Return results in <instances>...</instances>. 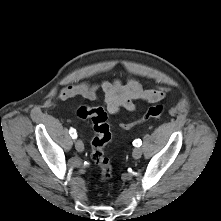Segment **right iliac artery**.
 Instances as JSON below:
<instances>
[{
    "label": "right iliac artery",
    "mask_w": 221,
    "mask_h": 221,
    "mask_svg": "<svg viewBox=\"0 0 221 221\" xmlns=\"http://www.w3.org/2000/svg\"><path fill=\"white\" fill-rule=\"evenodd\" d=\"M70 135L72 136L73 139L77 137L76 131L74 129H70Z\"/></svg>",
    "instance_id": "1"
}]
</instances>
